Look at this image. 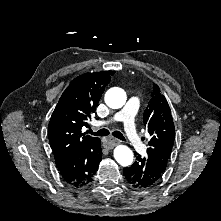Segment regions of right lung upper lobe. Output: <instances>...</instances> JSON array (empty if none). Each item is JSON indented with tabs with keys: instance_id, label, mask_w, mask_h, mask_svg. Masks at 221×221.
Instances as JSON below:
<instances>
[{
	"instance_id": "obj_1",
	"label": "right lung upper lobe",
	"mask_w": 221,
	"mask_h": 221,
	"mask_svg": "<svg viewBox=\"0 0 221 221\" xmlns=\"http://www.w3.org/2000/svg\"><path fill=\"white\" fill-rule=\"evenodd\" d=\"M113 74L114 71L82 74L63 92L48 126L49 141L57 167L98 139L82 133V128L88 126L87 121Z\"/></svg>"
}]
</instances>
